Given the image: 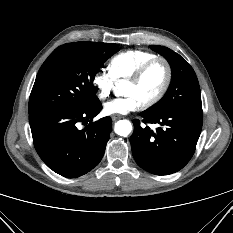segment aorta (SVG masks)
Listing matches in <instances>:
<instances>
[{
	"label": "aorta",
	"instance_id": "obj_1",
	"mask_svg": "<svg viewBox=\"0 0 233 233\" xmlns=\"http://www.w3.org/2000/svg\"><path fill=\"white\" fill-rule=\"evenodd\" d=\"M114 130L116 134L127 137L132 131L131 122L128 120H119L115 124Z\"/></svg>",
	"mask_w": 233,
	"mask_h": 233
}]
</instances>
